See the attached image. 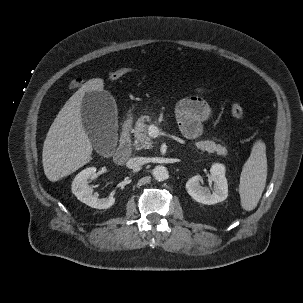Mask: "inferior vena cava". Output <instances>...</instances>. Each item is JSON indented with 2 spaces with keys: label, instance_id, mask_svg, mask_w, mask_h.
I'll return each instance as SVG.
<instances>
[{
  "label": "inferior vena cava",
  "instance_id": "obj_1",
  "mask_svg": "<svg viewBox=\"0 0 303 303\" xmlns=\"http://www.w3.org/2000/svg\"><path fill=\"white\" fill-rule=\"evenodd\" d=\"M144 164H145L144 157H133L127 161L126 166L129 169H137V168H140Z\"/></svg>",
  "mask_w": 303,
  "mask_h": 303
}]
</instances>
